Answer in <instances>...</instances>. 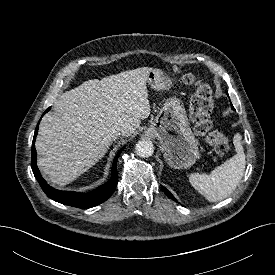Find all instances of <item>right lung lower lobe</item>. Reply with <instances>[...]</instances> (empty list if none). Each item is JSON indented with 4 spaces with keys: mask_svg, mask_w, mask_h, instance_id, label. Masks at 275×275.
Segmentation results:
<instances>
[{
    "mask_svg": "<svg viewBox=\"0 0 275 275\" xmlns=\"http://www.w3.org/2000/svg\"><path fill=\"white\" fill-rule=\"evenodd\" d=\"M49 109L50 108H48L44 112V114L46 112H48ZM37 132H38V125L36 127L33 142H32L31 167H32V171H33L34 176L37 179L39 185L41 186L44 193L49 198H51L52 200H54L56 202L65 204V205H69V206H73V207H77V208H81V209H87V208H91V207H94V206H97V205L103 203L112 195V193L116 189V186L118 183L116 162H117V159L120 156L123 149H121L115 156V159L112 164V175H111L110 180L107 183L101 185L100 187L96 188L95 190H93L89 193L60 191V190H56V189L52 188L51 186H49L45 182V180L43 179V177L41 176V174L38 170V167L36 164L37 154H36V150H35V139H36Z\"/></svg>",
    "mask_w": 275,
    "mask_h": 275,
    "instance_id": "obj_1",
    "label": "right lung lower lobe"
}]
</instances>
